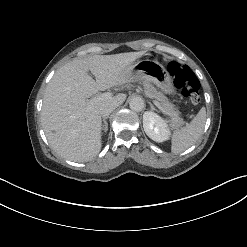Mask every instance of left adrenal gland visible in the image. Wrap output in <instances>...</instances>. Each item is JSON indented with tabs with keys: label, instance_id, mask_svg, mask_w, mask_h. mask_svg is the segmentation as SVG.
Instances as JSON below:
<instances>
[{
	"label": "left adrenal gland",
	"instance_id": "1",
	"mask_svg": "<svg viewBox=\"0 0 247 247\" xmlns=\"http://www.w3.org/2000/svg\"><path fill=\"white\" fill-rule=\"evenodd\" d=\"M151 110H155V107L153 106L152 103H150Z\"/></svg>",
	"mask_w": 247,
	"mask_h": 247
}]
</instances>
